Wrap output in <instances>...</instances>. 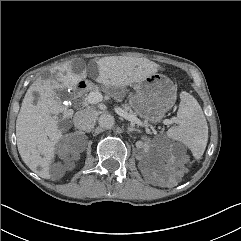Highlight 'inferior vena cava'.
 I'll list each match as a JSON object with an SVG mask.
<instances>
[{
	"label": "inferior vena cava",
	"instance_id": "inferior-vena-cava-1",
	"mask_svg": "<svg viewBox=\"0 0 241 241\" xmlns=\"http://www.w3.org/2000/svg\"><path fill=\"white\" fill-rule=\"evenodd\" d=\"M97 119V113L94 109H83L75 113L73 122L77 129L90 131L94 128Z\"/></svg>",
	"mask_w": 241,
	"mask_h": 241
}]
</instances>
